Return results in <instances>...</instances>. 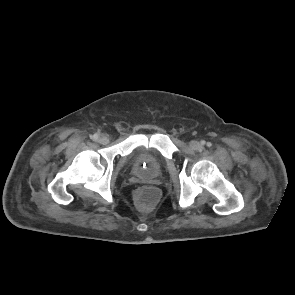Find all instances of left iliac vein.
I'll use <instances>...</instances> for the list:
<instances>
[{"label":"left iliac vein","instance_id":"1","mask_svg":"<svg viewBox=\"0 0 295 295\" xmlns=\"http://www.w3.org/2000/svg\"><path fill=\"white\" fill-rule=\"evenodd\" d=\"M189 145L192 149H195V150L201 147V144L195 140H192Z\"/></svg>","mask_w":295,"mask_h":295}]
</instances>
